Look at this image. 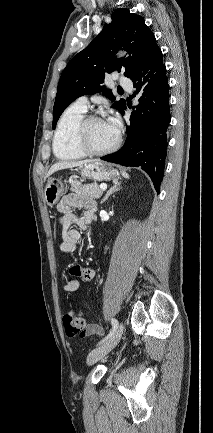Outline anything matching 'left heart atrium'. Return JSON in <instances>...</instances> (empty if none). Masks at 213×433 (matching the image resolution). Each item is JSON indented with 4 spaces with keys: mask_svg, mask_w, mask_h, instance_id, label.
Returning a JSON list of instances; mask_svg holds the SVG:
<instances>
[{
    "mask_svg": "<svg viewBox=\"0 0 213 433\" xmlns=\"http://www.w3.org/2000/svg\"><path fill=\"white\" fill-rule=\"evenodd\" d=\"M107 122L118 132L119 131V124L116 118L111 117L107 120Z\"/></svg>",
    "mask_w": 213,
    "mask_h": 433,
    "instance_id": "left-heart-atrium-1",
    "label": "left heart atrium"
}]
</instances>
